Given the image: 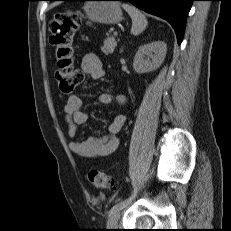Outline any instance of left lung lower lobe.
<instances>
[{
  "instance_id": "obj_1",
  "label": "left lung lower lobe",
  "mask_w": 231,
  "mask_h": 231,
  "mask_svg": "<svg viewBox=\"0 0 231 231\" xmlns=\"http://www.w3.org/2000/svg\"><path fill=\"white\" fill-rule=\"evenodd\" d=\"M56 1V0H51ZM128 1L141 10L168 21L175 30L178 44L182 42L186 18L194 0H117Z\"/></svg>"
}]
</instances>
